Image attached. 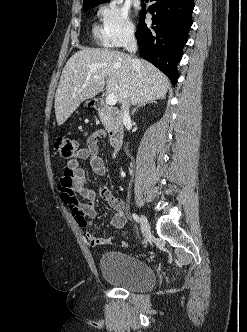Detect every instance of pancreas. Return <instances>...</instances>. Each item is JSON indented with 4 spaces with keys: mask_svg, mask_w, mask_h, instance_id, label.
Segmentation results:
<instances>
[{
    "mask_svg": "<svg viewBox=\"0 0 247 332\" xmlns=\"http://www.w3.org/2000/svg\"><path fill=\"white\" fill-rule=\"evenodd\" d=\"M99 116L104 127L109 131L111 129V121L107 118V116L104 113H99Z\"/></svg>",
    "mask_w": 247,
    "mask_h": 332,
    "instance_id": "1",
    "label": "pancreas"
}]
</instances>
